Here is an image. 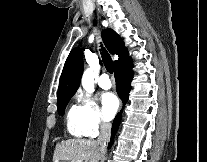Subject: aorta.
I'll return each mask as SVG.
<instances>
[{
    "mask_svg": "<svg viewBox=\"0 0 207 162\" xmlns=\"http://www.w3.org/2000/svg\"><path fill=\"white\" fill-rule=\"evenodd\" d=\"M81 83L86 92H94V75L91 69H86L84 71Z\"/></svg>",
    "mask_w": 207,
    "mask_h": 162,
    "instance_id": "762f6f07",
    "label": "aorta"
}]
</instances>
